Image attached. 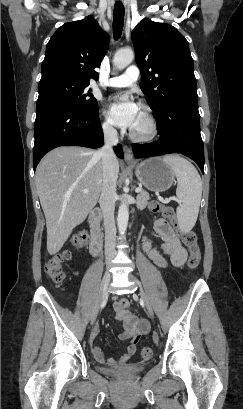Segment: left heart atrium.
Here are the masks:
<instances>
[{
  "label": "left heart atrium",
  "mask_w": 243,
  "mask_h": 409,
  "mask_svg": "<svg viewBox=\"0 0 243 409\" xmlns=\"http://www.w3.org/2000/svg\"><path fill=\"white\" fill-rule=\"evenodd\" d=\"M138 113L137 104L127 96H114L107 104V116L112 124L132 128Z\"/></svg>",
  "instance_id": "obj_1"
}]
</instances>
